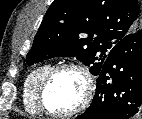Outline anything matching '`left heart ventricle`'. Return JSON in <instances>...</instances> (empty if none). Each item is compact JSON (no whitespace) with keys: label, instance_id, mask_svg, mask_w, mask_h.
Masks as SVG:
<instances>
[{"label":"left heart ventricle","instance_id":"obj_1","mask_svg":"<svg viewBox=\"0 0 142 119\" xmlns=\"http://www.w3.org/2000/svg\"><path fill=\"white\" fill-rule=\"evenodd\" d=\"M84 83L75 70H64L56 74L46 89L47 106L56 112L75 108L82 97Z\"/></svg>","mask_w":142,"mask_h":119}]
</instances>
